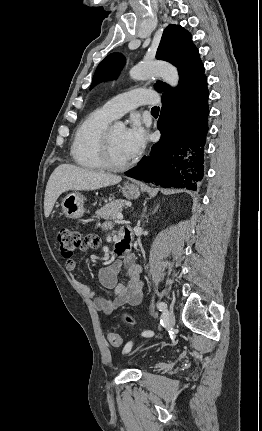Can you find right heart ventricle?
<instances>
[{
  "label": "right heart ventricle",
  "instance_id": "right-heart-ventricle-1",
  "mask_svg": "<svg viewBox=\"0 0 262 431\" xmlns=\"http://www.w3.org/2000/svg\"><path fill=\"white\" fill-rule=\"evenodd\" d=\"M114 118L101 107L88 114L76 129L71 155L82 168L102 170L105 168L101 148L102 138Z\"/></svg>",
  "mask_w": 262,
  "mask_h": 431
}]
</instances>
